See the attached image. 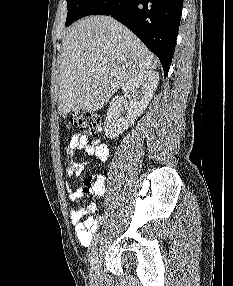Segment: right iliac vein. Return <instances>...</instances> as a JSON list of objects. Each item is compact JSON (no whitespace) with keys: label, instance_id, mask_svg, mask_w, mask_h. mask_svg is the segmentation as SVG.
Listing matches in <instances>:
<instances>
[{"label":"right iliac vein","instance_id":"1","mask_svg":"<svg viewBox=\"0 0 233 286\" xmlns=\"http://www.w3.org/2000/svg\"><path fill=\"white\" fill-rule=\"evenodd\" d=\"M99 267H100V258L98 252L96 251L91 257V267L89 271V278L91 282L97 281L99 274Z\"/></svg>","mask_w":233,"mask_h":286}]
</instances>
